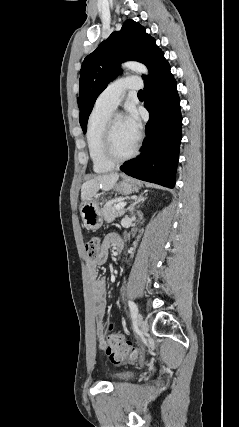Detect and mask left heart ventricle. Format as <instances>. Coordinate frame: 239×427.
Listing matches in <instances>:
<instances>
[{"label":"left heart ventricle","instance_id":"1","mask_svg":"<svg viewBox=\"0 0 239 427\" xmlns=\"http://www.w3.org/2000/svg\"><path fill=\"white\" fill-rule=\"evenodd\" d=\"M136 139L128 132L122 117L116 118L113 125V147L118 156L128 154L134 147Z\"/></svg>","mask_w":239,"mask_h":427}]
</instances>
